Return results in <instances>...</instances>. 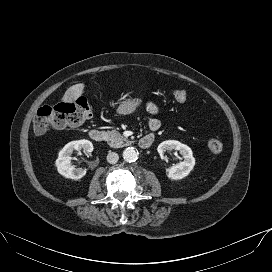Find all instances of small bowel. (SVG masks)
Returning a JSON list of instances; mask_svg holds the SVG:
<instances>
[{
    "label": "small bowel",
    "instance_id": "small-bowel-1",
    "mask_svg": "<svg viewBox=\"0 0 272 272\" xmlns=\"http://www.w3.org/2000/svg\"><path fill=\"white\" fill-rule=\"evenodd\" d=\"M146 109L148 113L152 115V118H150L148 122L149 129L151 132H156L161 127V121L157 117L159 108L155 103L149 102L146 106ZM150 134L153 135V133Z\"/></svg>",
    "mask_w": 272,
    "mask_h": 272
}]
</instances>
